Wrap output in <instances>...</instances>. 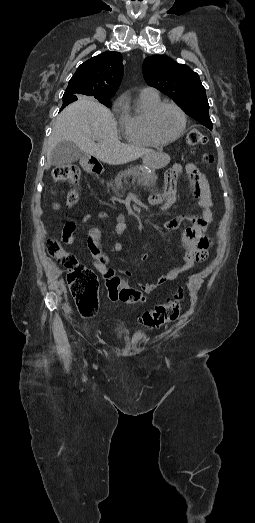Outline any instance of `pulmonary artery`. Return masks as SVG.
Returning <instances> with one entry per match:
<instances>
[{"instance_id":"e3ab8cb5","label":"pulmonary artery","mask_w":255,"mask_h":523,"mask_svg":"<svg viewBox=\"0 0 255 523\" xmlns=\"http://www.w3.org/2000/svg\"><path fill=\"white\" fill-rule=\"evenodd\" d=\"M145 90H151V91H154V92H157V90L153 87H146L144 88Z\"/></svg>"}]
</instances>
